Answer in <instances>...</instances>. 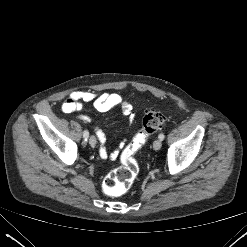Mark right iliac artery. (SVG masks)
Masks as SVG:
<instances>
[{
  "label": "right iliac artery",
  "instance_id": "right-iliac-artery-1",
  "mask_svg": "<svg viewBox=\"0 0 247 247\" xmlns=\"http://www.w3.org/2000/svg\"><path fill=\"white\" fill-rule=\"evenodd\" d=\"M83 137L85 138V140L88 139V137H89V132H88V130H84V132H83Z\"/></svg>",
  "mask_w": 247,
  "mask_h": 247
}]
</instances>
